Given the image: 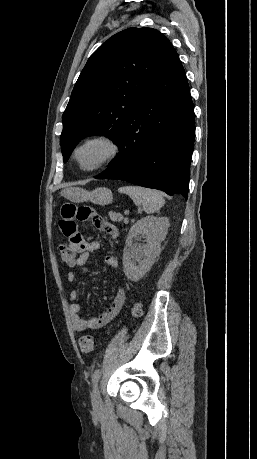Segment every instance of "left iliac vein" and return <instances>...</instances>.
Here are the masks:
<instances>
[{
	"instance_id": "1",
	"label": "left iliac vein",
	"mask_w": 257,
	"mask_h": 459,
	"mask_svg": "<svg viewBox=\"0 0 257 459\" xmlns=\"http://www.w3.org/2000/svg\"><path fill=\"white\" fill-rule=\"evenodd\" d=\"M91 401L92 405L95 409H100L102 406V400L99 392V388L97 385L94 386L92 394H91Z\"/></svg>"
}]
</instances>
